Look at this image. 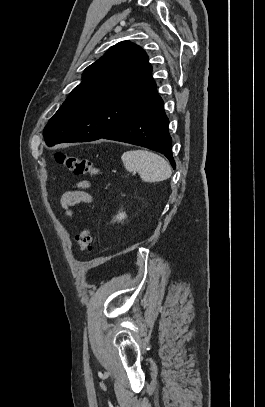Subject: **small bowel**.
Wrapping results in <instances>:
<instances>
[{
    "instance_id": "small-bowel-1",
    "label": "small bowel",
    "mask_w": 265,
    "mask_h": 407,
    "mask_svg": "<svg viewBox=\"0 0 265 407\" xmlns=\"http://www.w3.org/2000/svg\"><path fill=\"white\" fill-rule=\"evenodd\" d=\"M89 186L88 181L82 180L75 184L74 188L66 191L61 197V206L69 217H73L72 208L81 203H90L92 196L85 191Z\"/></svg>"
}]
</instances>
